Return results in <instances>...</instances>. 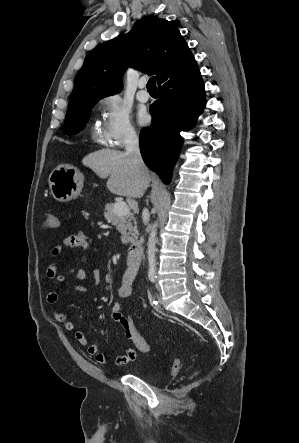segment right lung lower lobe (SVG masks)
Instances as JSON below:
<instances>
[{
    "label": "right lung lower lobe",
    "mask_w": 299,
    "mask_h": 443,
    "mask_svg": "<svg viewBox=\"0 0 299 443\" xmlns=\"http://www.w3.org/2000/svg\"><path fill=\"white\" fill-rule=\"evenodd\" d=\"M158 85L159 99L150 106L151 125L141 130L140 150L146 165L169 183L182 145L179 133L191 128L202 112L205 90L198 67Z\"/></svg>",
    "instance_id": "98d812e1"
}]
</instances>
